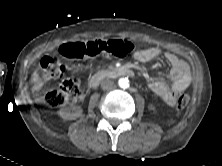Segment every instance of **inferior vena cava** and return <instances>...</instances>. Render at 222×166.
<instances>
[{
	"instance_id": "obj_1",
	"label": "inferior vena cava",
	"mask_w": 222,
	"mask_h": 166,
	"mask_svg": "<svg viewBox=\"0 0 222 166\" xmlns=\"http://www.w3.org/2000/svg\"><path fill=\"white\" fill-rule=\"evenodd\" d=\"M101 87H102V89H104V90H110V89H112V87H113V82H112L110 79H104V80L101 82Z\"/></svg>"
}]
</instances>
